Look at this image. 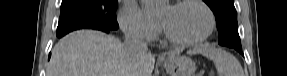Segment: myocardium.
<instances>
[{
  "label": "myocardium",
  "mask_w": 287,
  "mask_h": 76,
  "mask_svg": "<svg viewBox=\"0 0 287 76\" xmlns=\"http://www.w3.org/2000/svg\"><path fill=\"white\" fill-rule=\"evenodd\" d=\"M185 4H195L200 6L208 16V25L204 33L196 38L193 39H180L175 37L166 27L165 23L162 21V29L164 35L168 41L173 44L180 45V46H194L206 41L211 34L213 33L215 26H216V18L212 11V9L202 0H181L177 1L172 5V7H179Z\"/></svg>",
  "instance_id": "f54148a6"
}]
</instances>
